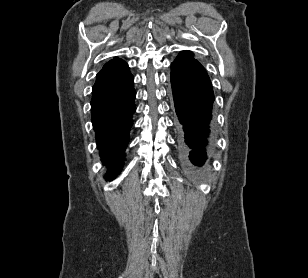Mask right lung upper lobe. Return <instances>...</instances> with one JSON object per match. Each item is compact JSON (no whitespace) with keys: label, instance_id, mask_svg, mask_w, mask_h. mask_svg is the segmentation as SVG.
Returning <instances> with one entry per match:
<instances>
[{"label":"right lung upper lobe","instance_id":"cb5924a9","mask_svg":"<svg viewBox=\"0 0 308 278\" xmlns=\"http://www.w3.org/2000/svg\"><path fill=\"white\" fill-rule=\"evenodd\" d=\"M130 75L128 65L119 58H114L106 63L97 74L94 86L116 84Z\"/></svg>","mask_w":308,"mask_h":278}]
</instances>
